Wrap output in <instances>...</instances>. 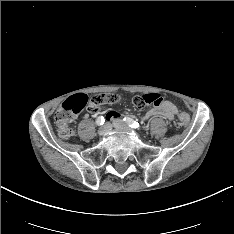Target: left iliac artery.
Listing matches in <instances>:
<instances>
[{
  "mask_svg": "<svg viewBox=\"0 0 234 234\" xmlns=\"http://www.w3.org/2000/svg\"><path fill=\"white\" fill-rule=\"evenodd\" d=\"M124 121L131 127L135 129H139L140 125L138 122L134 121L132 118L125 117Z\"/></svg>",
  "mask_w": 234,
  "mask_h": 234,
  "instance_id": "left-iliac-artery-1",
  "label": "left iliac artery"
}]
</instances>
